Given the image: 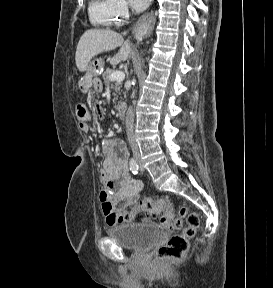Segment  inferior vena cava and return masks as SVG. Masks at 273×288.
Segmentation results:
<instances>
[{"label": "inferior vena cava", "mask_w": 273, "mask_h": 288, "mask_svg": "<svg viewBox=\"0 0 273 288\" xmlns=\"http://www.w3.org/2000/svg\"><path fill=\"white\" fill-rule=\"evenodd\" d=\"M125 125H126L127 138H128V142L131 147V150L133 154H138L139 149L135 141V137H134V113H133V109L131 106L128 108L127 113H126Z\"/></svg>", "instance_id": "obj_1"}]
</instances>
